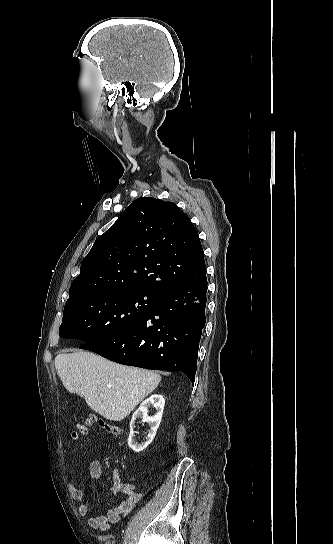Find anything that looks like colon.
I'll list each match as a JSON object with an SVG mask.
<instances>
[{"label":"colon","instance_id":"5ec220e1","mask_svg":"<svg viewBox=\"0 0 333 544\" xmlns=\"http://www.w3.org/2000/svg\"><path fill=\"white\" fill-rule=\"evenodd\" d=\"M93 424H99L105 431H107L111 435L117 436L120 434V428L118 425L98 418L93 414H90L82 422L78 423L76 430L72 433V438L76 441L80 440L88 433L89 428Z\"/></svg>","mask_w":333,"mask_h":544}]
</instances>
